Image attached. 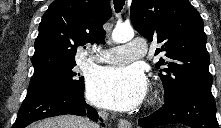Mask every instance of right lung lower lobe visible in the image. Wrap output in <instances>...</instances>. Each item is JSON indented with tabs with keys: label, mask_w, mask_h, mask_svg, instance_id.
Listing matches in <instances>:
<instances>
[{
	"label": "right lung lower lobe",
	"mask_w": 221,
	"mask_h": 128,
	"mask_svg": "<svg viewBox=\"0 0 221 128\" xmlns=\"http://www.w3.org/2000/svg\"><path fill=\"white\" fill-rule=\"evenodd\" d=\"M63 114L87 116L95 121L99 119L97 111L86 104L84 92L52 86L26 95L12 127L24 128L34 121Z\"/></svg>",
	"instance_id": "right-lung-lower-lobe-1"
}]
</instances>
